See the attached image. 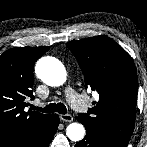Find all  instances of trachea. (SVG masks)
<instances>
[{
    "label": "trachea",
    "instance_id": "trachea-1",
    "mask_svg": "<svg viewBox=\"0 0 147 147\" xmlns=\"http://www.w3.org/2000/svg\"><path fill=\"white\" fill-rule=\"evenodd\" d=\"M33 109L44 112V113H53V112H58L60 114L67 113L66 106L63 103H57V104L50 103V104L46 105L44 108L33 106Z\"/></svg>",
    "mask_w": 147,
    "mask_h": 147
}]
</instances>
